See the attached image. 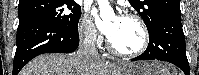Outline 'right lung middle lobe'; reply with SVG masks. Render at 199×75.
<instances>
[{
	"instance_id": "dd1d6c3e",
	"label": "right lung middle lobe",
	"mask_w": 199,
	"mask_h": 75,
	"mask_svg": "<svg viewBox=\"0 0 199 75\" xmlns=\"http://www.w3.org/2000/svg\"><path fill=\"white\" fill-rule=\"evenodd\" d=\"M19 20L40 19L64 30H75L81 7L73 0H25L18 6Z\"/></svg>"
}]
</instances>
